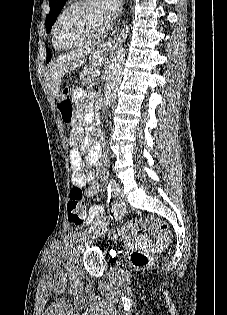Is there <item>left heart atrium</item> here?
<instances>
[{
	"instance_id": "left-heart-atrium-1",
	"label": "left heart atrium",
	"mask_w": 227,
	"mask_h": 315,
	"mask_svg": "<svg viewBox=\"0 0 227 315\" xmlns=\"http://www.w3.org/2000/svg\"><path fill=\"white\" fill-rule=\"evenodd\" d=\"M96 2L98 3L103 17L106 20L105 26L109 25L119 8L120 0H96Z\"/></svg>"
}]
</instances>
